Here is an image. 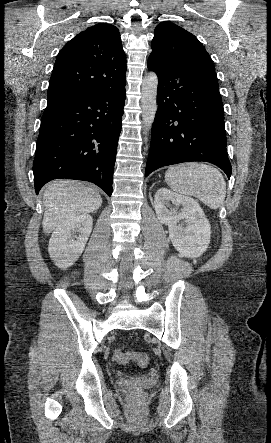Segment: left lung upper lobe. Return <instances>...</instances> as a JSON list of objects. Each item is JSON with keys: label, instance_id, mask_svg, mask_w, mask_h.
Instances as JSON below:
<instances>
[{"label": "left lung upper lobe", "instance_id": "left-lung-upper-lobe-1", "mask_svg": "<svg viewBox=\"0 0 271 443\" xmlns=\"http://www.w3.org/2000/svg\"><path fill=\"white\" fill-rule=\"evenodd\" d=\"M151 53L215 70L209 54L199 40L190 32L170 22H162L155 28Z\"/></svg>", "mask_w": 271, "mask_h": 443}]
</instances>
